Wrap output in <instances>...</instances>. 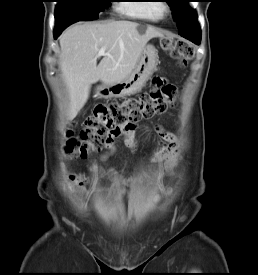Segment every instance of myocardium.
Instances as JSON below:
<instances>
[{
  "mask_svg": "<svg viewBox=\"0 0 258 275\" xmlns=\"http://www.w3.org/2000/svg\"><path fill=\"white\" fill-rule=\"evenodd\" d=\"M163 14H169L171 12L170 8L167 5L162 7Z\"/></svg>",
  "mask_w": 258,
  "mask_h": 275,
  "instance_id": "1",
  "label": "myocardium"
}]
</instances>
